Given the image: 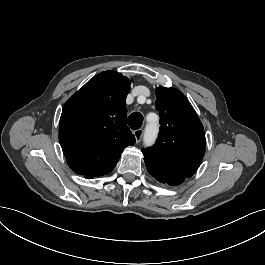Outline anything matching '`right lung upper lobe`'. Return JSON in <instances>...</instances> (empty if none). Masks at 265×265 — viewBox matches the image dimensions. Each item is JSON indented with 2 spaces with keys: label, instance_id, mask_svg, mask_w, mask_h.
I'll return each mask as SVG.
<instances>
[{
  "label": "right lung upper lobe",
  "instance_id": "1",
  "mask_svg": "<svg viewBox=\"0 0 265 265\" xmlns=\"http://www.w3.org/2000/svg\"><path fill=\"white\" fill-rule=\"evenodd\" d=\"M130 80L115 71L90 79L65 103L59 141L69 167L85 176L109 174L124 148L135 144L126 124Z\"/></svg>",
  "mask_w": 265,
  "mask_h": 265
}]
</instances>
